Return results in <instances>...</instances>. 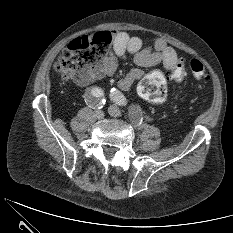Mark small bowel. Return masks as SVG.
I'll return each mask as SVG.
<instances>
[{
    "label": "small bowel",
    "instance_id": "c3829d8e",
    "mask_svg": "<svg viewBox=\"0 0 233 233\" xmlns=\"http://www.w3.org/2000/svg\"><path fill=\"white\" fill-rule=\"evenodd\" d=\"M111 35L112 51L105 60L103 73L112 75L116 70L117 59L125 58L128 54L133 55L134 62L140 67L132 69L118 81L122 90H129L135 82L143 78L144 71L141 68L162 65L170 71L179 59L174 48L163 39L157 38L152 44L145 46L141 38L125 31H113Z\"/></svg>",
    "mask_w": 233,
    "mask_h": 233
}]
</instances>
